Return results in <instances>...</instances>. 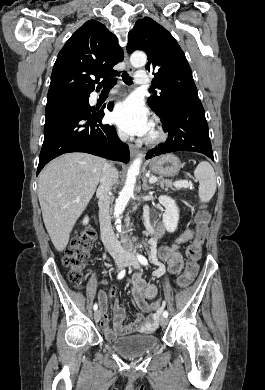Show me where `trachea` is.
Segmentation results:
<instances>
[{"label":"trachea","mask_w":265,"mask_h":390,"mask_svg":"<svg viewBox=\"0 0 265 390\" xmlns=\"http://www.w3.org/2000/svg\"><path fill=\"white\" fill-rule=\"evenodd\" d=\"M122 78L125 84L127 85L133 84L132 78L126 72L122 73ZM116 82H117L116 78H109L106 80L105 87H113L116 84Z\"/></svg>","instance_id":"obj_1"}]
</instances>
